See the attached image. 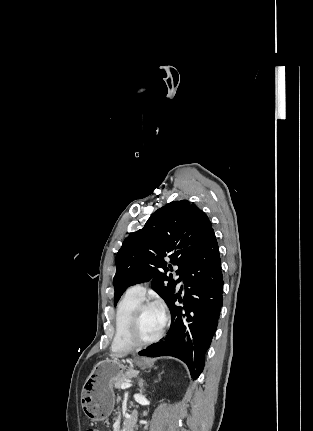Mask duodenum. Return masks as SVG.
<instances>
[{"mask_svg": "<svg viewBox=\"0 0 313 431\" xmlns=\"http://www.w3.org/2000/svg\"><path fill=\"white\" fill-rule=\"evenodd\" d=\"M135 419H136L135 415H131L128 418H126L123 423V431H133Z\"/></svg>", "mask_w": 313, "mask_h": 431, "instance_id": "1", "label": "duodenum"}]
</instances>
